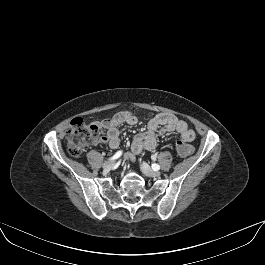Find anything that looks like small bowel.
I'll return each mask as SVG.
<instances>
[{
    "label": "small bowel",
    "instance_id": "small-bowel-1",
    "mask_svg": "<svg viewBox=\"0 0 265 265\" xmlns=\"http://www.w3.org/2000/svg\"><path fill=\"white\" fill-rule=\"evenodd\" d=\"M138 123V117L131 111H121L109 119L98 121L95 125L102 134L101 143H106L115 149L120 144L119 128L123 124L134 126ZM177 132L183 142H192L195 132L188 124L169 113H160L150 119L147 130L137 134L131 143V153L127 159L134 160L135 156L144 151H151L157 146L158 136L164 133Z\"/></svg>",
    "mask_w": 265,
    "mask_h": 265
}]
</instances>
